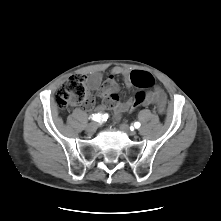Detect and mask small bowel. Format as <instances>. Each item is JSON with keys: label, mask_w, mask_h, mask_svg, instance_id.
<instances>
[{"label": "small bowel", "mask_w": 221, "mask_h": 221, "mask_svg": "<svg viewBox=\"0 0 221 221\" xmlns=\"http://www.w3.org/2000/svg\"><path fill=\"white\" fill-rule=\"evenodd\" d=\"M133 72H142L149 74L144 71H130L126 68L117 66L112 69L109 79L103 83L102 76L99 73H92L88 77H86L88 88L92 91H97L98 94L104 98L103 103L98 106L99 110H113L115 119H118L123 113L131 112L137 107V105H135L134 99L120 101L118 96L119 88L114 79L115 76H122L127 87H130L131 85H135L132 82L131 78ZM141 105H154L158 112L162 114L164 113L167 105L166 94L159 86H155L151 91L147 93L146 98Z\"/></svg>", "instance_id": "1"}]
</instances>
